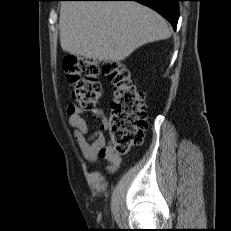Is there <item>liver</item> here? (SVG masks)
<instances>
[{
    "instance_id": "1",
    "label": "liver",
    "mask_w": 231,
    "mask_h": 231,
    "mask_svg": "<svg viewBox=\"0 0 231 231\" xmlns=\"http://www.w3.org/2000/svg\"><path fill=\"white\" fill-rule=\"evenodd\" d=\"M59 29L63 51L116 63L142 45L171 36L161 15L129 1L63 2Z\"/></svg>"
}]
</instances>
